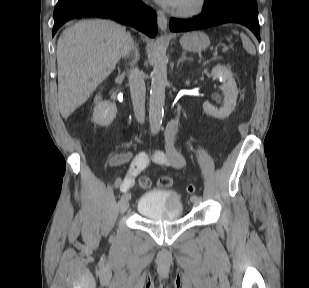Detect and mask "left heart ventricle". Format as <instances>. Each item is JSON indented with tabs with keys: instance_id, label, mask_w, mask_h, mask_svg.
Masks as SVG:
<instances>
[{
	"instance_id": "b2bd125f",
	"label": "left heart ventricle",
	"mask_w": 309,
	"mask_h": 288,
	"mask_svg": "<svg viewBox=\"0 0 309 288\" xmlns=\"http://www.w3.org/2000/svg\"><path fill=\"white\" fill-rule=\"evenodd\" d=\"M194 0H180L176 8L188 7L193 4Z\"/></svg>"
}]
</instances>
